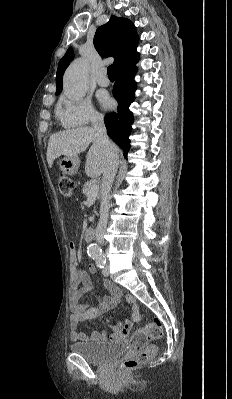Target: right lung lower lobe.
Returning <instances> with one entry per match:
<instances>
[{
  "label": "right lung lower lobe",
  "mask_w": 232,
  "mask_h": 399,
  "mask_svg": "<svg viewBox=\"0 0 232 399\" xmlns=\"http://www.w3.org/2000/svg\"><path fill=\"white\" fill-rule=\"evenodd\" d=\"M138 60L139 56L115 70L116 82L113 87V96L118 101L117 112L109 113L104 118L108 136L123 150L125 158L130 148L129 135L132 131L133 114L129 106L135 98L134 75L137 70L135 64Z\"/></svg>",
  "instance_id": "98d812e1"
}]
</instances>
